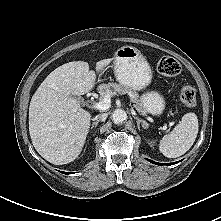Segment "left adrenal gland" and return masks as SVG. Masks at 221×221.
<instances>
[{"mask_svg":"<svg viewBox=\"0 0 221 221\" xmlns=\"http://www.w3.org/2000/svg\"><path fill=\"white\" fill-rule=\"evenodd\" d=\"M134 117V119L136 120V122H137V128L140 130V124L142 125V127L144 128V129H147L148 128V123L146 122V121H144V120H141V119H139L138 117H136V116H133Z\"/></svg>","mask_w":221,"mask_h":221,"instance_id":"obj_1","label":"left adrenal gland"}]
</instances>
